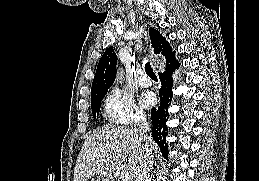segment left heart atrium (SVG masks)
Listing matches in <instances>:
<instances>
[{
    "instance_id": "obj_1",
    "label": "left heart atrium",
    "mask_w": 259,
    "mask_h": 181,
    "mask_svg": "<svg viewBox=\"0 0 259 181\" xmlns=\"http://www.w3.org/2000/svg\"><path fill=\"white\" fill-rule=\"evenodd\" d=\"M141 102L144 106L150 107L155 104L156 97L152 92H146L141 98Z\"/></svg>"
}]
</instances>
